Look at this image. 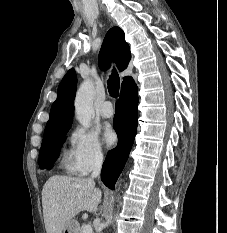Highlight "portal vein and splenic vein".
Listing matches in <instances>:
<instances>
[{
	"instance_id": "18ae733b",
	"label": "portal vein and splenic vein",
	"mask_w": 227,
	"mask_h": 233,
	"mask_svg": "<svg viewBox=\"0 0 227 233\" xmlns=\"http://www.w3.org/2000/svg\"><path fill=\"white\" fill-rule=\"evenodd\" d=\"M83 233H93L92 227L90 224H86L85 226H83Z\"/></svg>"
}]
</instances>
